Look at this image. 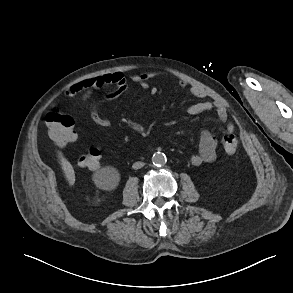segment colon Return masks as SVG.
Segmentation results:
<instances>
[{"mask_svg": "<svg viewBox=\"0 0 293 293\" xmlns=\"http://www.w3.org/2000/svg\"><path fill=\"white\" fill-rule=\"evenodd\" d=\"M46 126L50 138L59 145L69 144L75 141V121L67 113L59 109H53L46 115ZM224 151L229 155H234L237 150L238 140L233 133H227L222 138ZM101 160V151L98 148H91L80 156L78 163L82 167L89 169L98 168Z\"/></svg>", "mask_w": 293, "mask_h": 293, "instance_id": "1", "label": "colon"}]
</instances>
